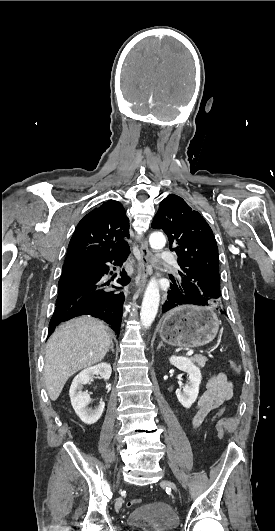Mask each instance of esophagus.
Returning a JSON list of instances; mask_svg holds the SVG:
<instances>
[{
    "instance_id": "esophagus-1",
    "label": "esophagus",
    "mask_w": 275,
    "mask_h": 531,
    "mask_svg": "<svg viewBox=\"0 0 275 531\" xmlns=\"http://www.w3.org/2000/svg\"><path fill=\"white\" fill-rule=\"evenodd\" d=\"M140 251H141V281H140V285L144 286V284L147 281L148 275L151 274V272H152V267H151V264H150L151 263V253L149 251L148 244H147V241L145 239L141 242Z\"/></svg>"
}]
</instances>
